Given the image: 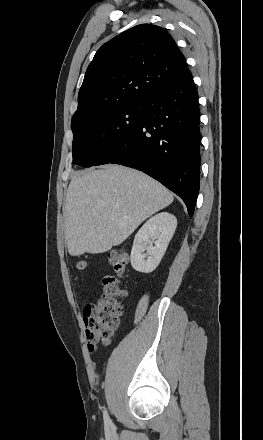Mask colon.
<instances>
[{
  "instance_id": "colon-1",
  "label": "colon",
  "mask_w": 263,
  "mask_h": 440,
  "mask_svg": "<svg viewBox=\"0 0 263 440\" xmlns=\"http://www.w3.org/2000/svg\"><path fill=\"white\" fill-rule=\"evenodd\" d=\"M108 262L116 276H105L102 280V293L89 303L84 311V324L88 340V350L94 355L99 350V343L109 342L123 314L122 300L127 291L121 286L118 277L122 276L129 262L128 254L120 249L108 253ZM78 268H86V262H78Z\"/></svg>"
}]
</instances>
